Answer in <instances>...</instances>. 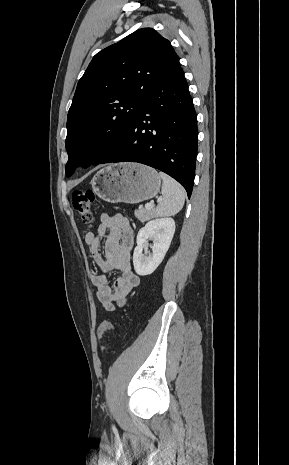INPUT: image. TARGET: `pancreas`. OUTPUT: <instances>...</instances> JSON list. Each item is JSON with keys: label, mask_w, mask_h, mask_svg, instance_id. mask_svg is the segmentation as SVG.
<instances>
[{"label": "pancreas", "mask_w": 289, "mask_h": 465, "mask_svg": "<svg viewBox=\"0 0 289 465\" xmlns=\"http://www.w3.org/2000/svg\"><path fill=\"white\" fill-rule=\"evenodd\" d=\"M135 216L141 222H145L153 216V210L152 209L147 210V209L140 207L139 209L135 210Z\"/></svg>", "instance_id": "pancreas-1"}]
</instances>
